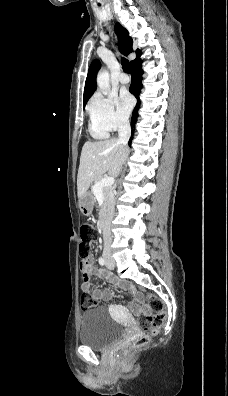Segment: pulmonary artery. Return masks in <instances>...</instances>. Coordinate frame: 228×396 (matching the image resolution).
<instances>
[{
  "label": "pulmonary artery",
  "instance_id": "pulmonary-artery-1",
  "mask_svg": "<svg viewBox=\"0 0 228 396\" xmlns=\"http://www.w3.org/2000/svg\"><path fill=\"white\" fill-rule=\"evenodd\" d=\"M118 80L122 84H127L129 82V77L126 74L122 73L118 76Z\"/></svg>",
  "mask_w": 228,
  "mask_h": 396
}]
</instances>
